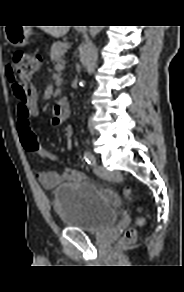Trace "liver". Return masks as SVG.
I'll use <instances>...</instances> for the list:
<instances>
[{
  "instance_id": "liver-1",
  "label": "liver",
  "mask_w": 184,
  "mask_h": 292,
  "mask_svg": "<svg viewBox=\"0 0 184 292\" xmlns=\"http://www.w3.org/2000/svg\"><path fill=\"white\" fill-rule=\"evenodd\" d=\"M70 26H44L42 29L55 38L63 37Z\"/></svg>"
}]
</instances>
